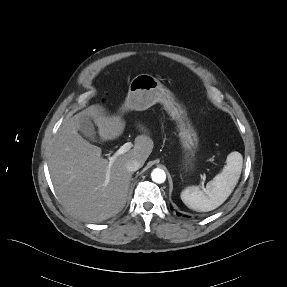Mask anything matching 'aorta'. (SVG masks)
Instances as JSON below:
<instances>
[{
  "label": "aorta",
  "instance_id": "762f6f07",
  "mask_svg": "<svg viewBox=\"0 0 287 287\" xmlns=\"http://www.w3.org/2000/svg\"><path fill=\"white\" fill-rule=\"evenodd\" d=\"M151 178L153 182L161 184L166 180V173L163 169L155 168L151 173Z\"/></svg>",
  "mask_w": 287,
  "mask_h": 287
}]
</instances>
